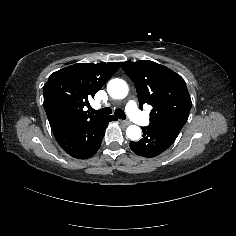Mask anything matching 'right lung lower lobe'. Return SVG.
<instances>
[{"mask_svg": "<svg viewBox=\"0 0 236 236\" xmlns=\"http://www.w3.org/2000/svg\"><path fill=\"white\" fill-rule=\"evenodd\" d=\"M115 116H99L83 123L67 126L54 133L58 144L70 156L78 159L92 157L100 148L107 124Z\"/></svg>", "mask_w": 236, "mask_h": 236, "instance_id": "right-lung-lower-lobe-1", "label": "right lung lower lobe"}]
</instances>
